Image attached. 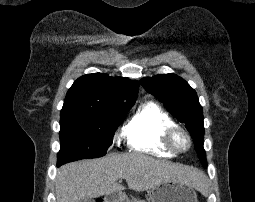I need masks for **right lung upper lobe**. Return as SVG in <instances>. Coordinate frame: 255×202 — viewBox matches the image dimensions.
Wrapping results in <instances>:
<instances>
[{
  "label": "right lung upper lobe",
  "mask_w": 255,
  "mask_h": 202,
  "mask_svg": "<svg viewBox=\"0 0 255 202\" xmlns=\"http://www.w3.org/2000/svg\"><path fill=\"white\" fill-rule=\"evenodd\" d=\"M139 83L102 73L78 78L68 90L61 116L124 109L136 101Z\"/></svg>",
  "instance_id": "right-lung-upper-lobe-1"
}]
</instances>
